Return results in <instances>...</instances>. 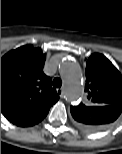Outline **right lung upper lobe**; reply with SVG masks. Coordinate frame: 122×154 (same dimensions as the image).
I'll list each match as a JSON object with an SVG mask.
<instances>
[{
  "label": "right lung upper lobe",
  "instance_id": "cb5924a9",
  "mask_svg": "<svg viewBox=\"0 0 122 154\" xmlns=\"http://www.w3.org/2000/svg\"><path fill=\"white\" fill-rule=\"evenodd\" d=\"M41 48L25 45L1 58V112L13 124L28 127L42 121L59 96L43 72Z\"/></svg>",
  "mask_w": 122,
  "mask_h": 154
}]
</instances>
